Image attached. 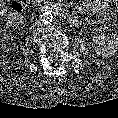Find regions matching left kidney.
<instances>
[{
  "mask_svg": "<svg viewBox=\"0 0 118 118\" xmlns=\"http://www.w3.org/2000/svg\"><path fill=\"white\" fill-rule=\"evenodd\" d=\"M92 49L102 57H111L118 50L115 42L105 35L94 36L92 39Z\"/></svg>",
  "mask_w": 118,
  "mask_h": 118,
  "instance_id": "left-kidney-1",
  "label": "left kidney"
}]
</instances>
